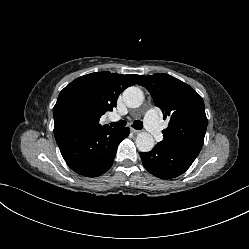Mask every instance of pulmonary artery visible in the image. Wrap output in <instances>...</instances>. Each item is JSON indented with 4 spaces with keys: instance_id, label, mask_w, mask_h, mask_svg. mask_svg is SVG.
I'll return each instance as SVG.
<instances>
[{
    "instance_id": "pulmonary-artery-1",
    "label": "pulmonary artery",
    "mask_w": 249,
    "mask_h": 249,
    "mask_svg": "<svg viewBox=\"0 0 249 249\" xmlns=\"http://www.w3.org/2000/svg\"><path fill=\"white\" fill-rule=\"evenodd\" d=\"M144 124L155 140L160 141L163 137L161 127L159 125L158 114L155 109H150L144 116Z\"/></svg>"
}]
</instances>
